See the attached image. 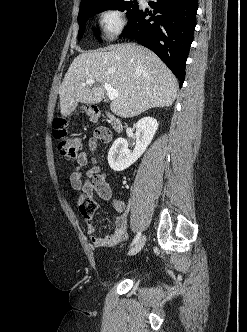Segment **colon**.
Returning <instances> with one entry per match:
<instances>
[{
  "instance_id": "colon-1",
  "label": "colon",
  "mask_w": 247,
  "mask_h": 332,
  "mask_svg": "<svg viewBox=\"0 0 247 332\" xmlns=\"http://www.w3.org/2000/svg\"><path fill=\"white\" fill-rule=\"evenodd\" d=\"M85 112L92 121H96L100 116V111L96 106H87ZM67 120L64 118H57L54 121V136L57 143V152L62 157L74 159L78 156L81 149V139L76 136H69L66 129ZM96 203L92 199H87L79 204V211L85 218H90L95 210Z\"/></svg>"
}]
</instances>
